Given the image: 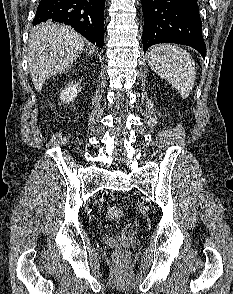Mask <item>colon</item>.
<instances>
[{
  "label": "colon",
  "instance_id": "colon-1",
  "mask_svg": "<svg viewBox=\"0 0 233 294\" xmlns=\"http://www.w3.org/2000/svg\"><path fill=\"white\" fill-rule=\"evenodd\" d=\"M124 214V208L121 205H113L108 209V216L112 220L120 219ZM127 253L124 250H119L116 253L117 261L123 264L126 260Z\"/></svg>",
  "mask_w": 233,
  "mask_h": 294
}]
</instances>
